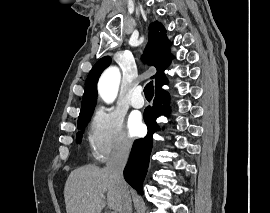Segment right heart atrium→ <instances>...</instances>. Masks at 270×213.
Instances as JSON below:
<instances>
[{
	"label": "right heart atrium",
	"mask_w": 270,
	"mask_h": 213,
	"mask_svg": "<svg viewBox=\"0 0 270 213\" xmlns=\"http://www.w3.org/2000/svg\"><path fill=\"white\" fill-rule=\"evenodd\" d=\"M89 142L93 156L100 162L128 155V140L122 115L110 107H98L90 121Z\"/></svg>",
	"instance_id": "1"
}]
</instances>
